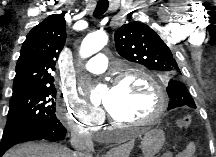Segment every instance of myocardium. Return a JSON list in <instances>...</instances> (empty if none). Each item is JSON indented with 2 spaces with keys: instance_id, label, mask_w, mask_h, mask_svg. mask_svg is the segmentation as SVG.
Listing matches in <instances>:
<instances>
[{
  "instance_id": "myocardium-1",
  "label": "myocardium",
  "mask_w": 216,
  "mask_h": 157,
  "mask_svg": "<svg viewBox=\"0 0 216 157\" xmlns=\"http://www.w3.org/2000/svg\"><path fill=\"white\" fill-rule=\"evenodd\" d=\"M129 77H137L143 79L145 82L149 84V86L154 91L157 103L154 111L148 116L146 119L138 120L134 122H127L118 120L114 115L107 109V114L110 122L113 125L117 126H127V127H137V126H145L155 123L163 114V112L167 108V97L163 87L159 82L155 80L153 76L147 73L145 70L141 68H131L123 72L122 74L115 77L113 80V87L119 86L123 81Z\"/></svg>"
}]
</instances>
